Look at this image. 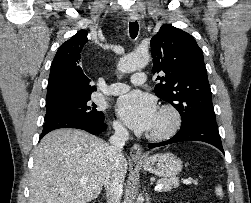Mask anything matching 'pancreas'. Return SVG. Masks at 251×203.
<instances>
[{
	"label": "pancreas",
	"instance_id": "1",
	"mask_svg": "<svg viewBox=\"0 0 251 203\" xmlns=\"http://www.w3.org/2000/svg\"><path fill=\"white\" fill-rule=\"evenodd\" d=\"M158 183L164 185L162 189L164 192L170 191L172 188H176L179 186V180L176 177L162 178L158 180Z\"/></svg>",
	"mask_w": 251,
	"mask_h": 203
}]
</instances>
